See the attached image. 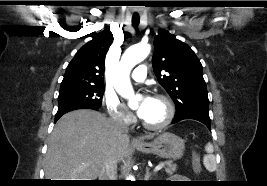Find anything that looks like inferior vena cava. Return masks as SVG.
<instances>
[{"label":"inferior vena cava","mask_w":267,"mask_h":186,"mask_svg":"<svg viewBox=\"0 0 267 186\" xmlns=\"http://www.w3.org/2000/svg\"><path fill=\"white\" fill-rule=\"evenodd\" d=\"M114 132L116 134L128 133V124L122 119L113 120ZM99 180H117V161L114 157H109L100 172Z\"/></svg>","instance_id":"602c4592"}]
</instances>
